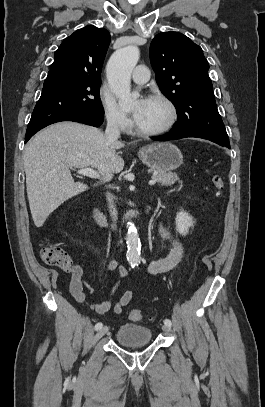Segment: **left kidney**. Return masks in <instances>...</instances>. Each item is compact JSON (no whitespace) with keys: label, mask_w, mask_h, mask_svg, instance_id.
<instances>
[{"label":"left kidney","mask_w":265,"mask_h":407,"mask_svg":"<svg viewBox=\"0 0 265 407\" xmlns=\"http://www.w3.org/2000/svg\"><path fill=\"white\" fill-rule=\"evenodd\" d=\"M176 230L181 235H186L189 228L193 226V218L185 211L181 210L176 216Z\"/></svg>","instance_id":"5707ae66"}]
</instances>
